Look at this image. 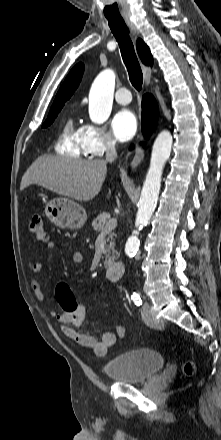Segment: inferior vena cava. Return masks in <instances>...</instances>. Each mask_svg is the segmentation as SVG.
Wrapping results in <instances>:
<instances>
[{"label": "inferior vena cava", "mask_w": 221, "mask_h": 440, "mask_svg": "<svg viewBox=\"0 0 221 440\" xmlns=\"http://www.w3.org/2000/svg\"><path fill=\"white\" fill-rule=\"evenodd\" d=\"M117 157V152L115 149V143L109 142L107 145V151H106V161L107 162H112L114 161V159Z\"/></svg>", "instance_id": "inferior-vena-cava-1"}]
</instances>
